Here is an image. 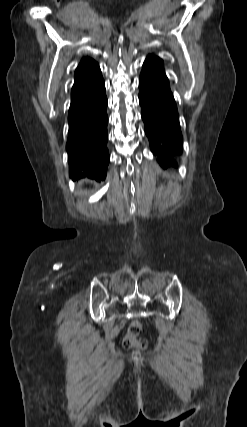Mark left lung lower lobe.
<instances>
[{
    "label": "left lung lower lobe",
    "instance_id": "0a47b994",
    "mask_svg": "<svg viewBox=\"0 0 247 427\" xmlns=\"http://www.w3.org/2000/svg\"><path fill=\"white\" fill-rule=\"evenodd\" d=\"M139 102L145 133L161 166L176 165L182 153L177 106L162 62L148 56L139 78Z\"/></svg>",
    "mask_w": 247,
    "mask_h": 427
}]
</instances>
